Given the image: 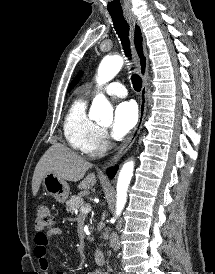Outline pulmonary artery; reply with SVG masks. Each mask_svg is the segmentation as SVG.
Masks as SVG:
<instances>
[{"instance_id":"pulmonary-artery-1","label":"pulmonary artery","mask_w":215,"mask_h":274,"mask_svg":"<svg viewBox=\"0 0 215 274\" xmlns=\"http://www.w3.org/2000/svg\"><path fill=\"white\" fill-rule=\"evenodd\" d=\"M103 91L111 96L125 97L127 90L120 82H111L103 88Z\"/></svg>"}]
</instances>
